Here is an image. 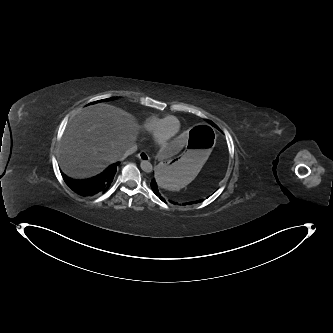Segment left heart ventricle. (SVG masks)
Returning a JSON list of instances; mask_svg holds the SVG:
<instances>
[{
    "mask_svg": "<svg viewBox=\"0 0 333 333\" xmlns=\"http://www.w3.org/2000/svg\"><path fill=\"white\" fill-rule=\"evenodd\" d=\"M177 131V122L175 119H170L166 122L163 130V137L171 138Z\"/></svg>",
    "mask_w": 333,
    "mask_h": 333,
    "instance_id": "b2bd125f",
    "label": "left heart ventricle"
}]
</instances>
